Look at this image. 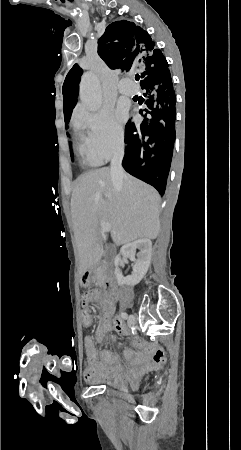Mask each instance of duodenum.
<instances>
[{
	"mask_svg": "<svg viewBox=\"0 0 241 450\" xmlns=\"http://www.w3.org/2000/svg\"><path fill=\"white\" fill-rule=\"evenodd\" d=\"M95 279H96L95 272L92 269H86L82 273V283L85 286L91 284ZM100 283L107 288L108 292L110 293L113 299H116L118 297L116 285L111 273L105 274L100 279Z\"/></svg>",
	"mask_w": 241,
	"mask_h": 450,
	"instance_id": "duodenum-1",
	"label": "duodenum"
}]
</instances>
